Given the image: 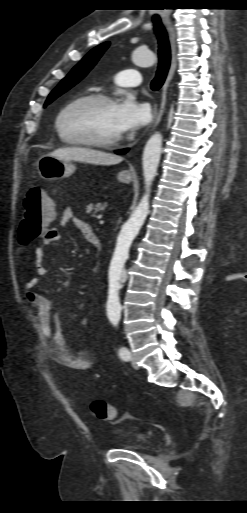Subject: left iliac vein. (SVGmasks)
<instances>
[{
	"mask_svg": "<svg viewBox=\"0 0 247 513\" xmlns=\"http://www.w3.org/2000/svg\"><path fill=\"white\" fill-rule=\"evenodd\" d=\"M131 364H132V367H133L134 369H138V368H139L138 363H137V360H136V358H135V356H134V355H131Z\"/></svg>",
	"mask_w": 247,
	"mask_h": 513,
	"instance_id": "obj_1",
	"label": "left iliac vein"
}]
</instances>
